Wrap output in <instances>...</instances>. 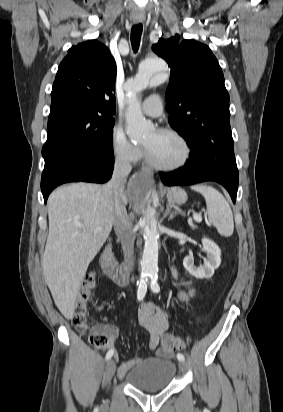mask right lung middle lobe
Here are the masks:
<instances>
[{
  "instance_id": "dd1d6c3e",
  "label": "right lung middle lobe",
  "mask_w": 283,
  "mask_h": 412,
  "mask_svg": "<svg viewBox=\"0 0 283 412\" xmlns=\"http://www.w3.org/2000/svg\"><path fill=\"white\" fill-rule=\"evenodd\" d=\"M113 126L114 118H106L93 110L71 109L50 115L43 158L62 153L113 156Z\"/></svg>"
}]
</instances>
